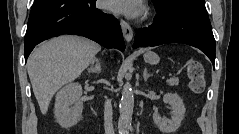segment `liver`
<instances>
[{"mask_svg": "<svg viewBox=\"0 0 239 134\" xmlns=\"http://www.w3.org/2000/svg\"><path fill=\"white\" fill-rule=\"evenodd\" d=\"M101 46L79 36H60L38 46L27 61L28 75L42 114L54 94L78 78Z\"/></svg>", "mask_w": 239, "mask_h": 134, "instance_id": "6515ba94", "label": "liver"}]
</instances>
